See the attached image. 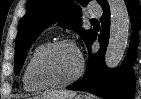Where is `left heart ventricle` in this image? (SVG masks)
Returning <instances> with one entry per match:
<instances>
[{
	"label": "left heart ventricle",
	"instance_id": "b2bd125f",
	"mask_svg": "<svg viewBox=\"0 0 141 99\" xmlns=\"http://www.w3.org/2000/svg\"><path fill=\"white\" fill-rule=\"evenodd\" d=\"M79 68V56L73 47H59L46 54L37 65L43 80L62 81L72 77Z\"/></svg>",
	"mask_w": 141,
	"mask_h": 99
}]
</instances>
